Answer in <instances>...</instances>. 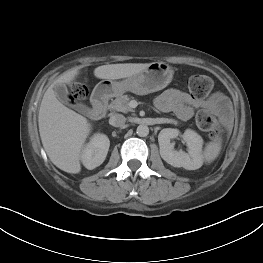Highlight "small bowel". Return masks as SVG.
I'll return each mask as SVG.
<instances>
[{"instance_id": "1", "label": "small bowel", "mask_w": 263, "mask_h": 263, "mask_svg": "<svg viewBox=\"0 0 263 263\" xmlns=\"http://www.w3.org/2000/svg\"><path fill=\"white\" fill-rule=\"evenodd\" d=\"M155 105L162 112H173L181 120L190 119L194 109L213 111L223 118H227L230 112V104L221 93L198 99L177 88L165 90L157 97Z\"/></svg>"}]
</instances>
